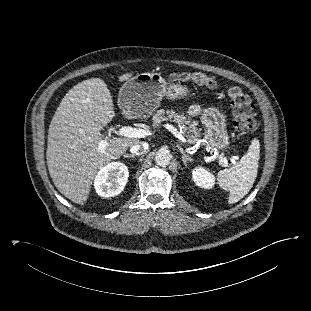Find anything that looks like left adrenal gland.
I'll return each instance as SVG.
<instances>
[{"label": "left adrenal gland", "instance_id": "left-adrenal-gland-1", "mask_svg": "<svg viewBox=\"0 0 311 311\" xmlns=\"http://www.w3.org/2000/svg\"><path fill=\"white\" fill-rule=\"evenodd\" d=\"M179 151L182 154V161L184 162L185 166L187 167V162H192V158L190 156H188L185 151L183 150V148L180 145H177Z\"/></svg>", "mask_w": 311, "mask_h": 311}]
</instances>
